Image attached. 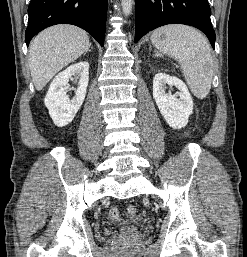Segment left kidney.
<instances>
[{"label":"left kidney","mask_w":247,"mask_h":257,"mask_svg":"<svg viewBox=\"0 0 247 257\" xmlns=\"http://www.w3.org/2000/svg\"><path fill=\"white\" fill-rule=\"evenodd\" d=\"M167 85L175 86L179 92L174 95L166 93ZM153 98L170 127L181 129L187 125L193 113V100L183 81L165 73L156 74L153 78Z\"/></svg>","instance_id":"left-kidney-1"}]
</instances>
